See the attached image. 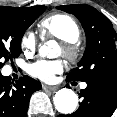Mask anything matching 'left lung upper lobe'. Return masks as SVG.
<instances>
[{
	"instance_id": "1",
	"label": "left lung upper lobe",
	"mask_w": 117,
	"mask_h": 117,
	"mask_svg": "<svg viewBox=\"0 0 117 117\" xmlns=\"http://www.w3.org/2000/svg\"><path fill=\"white\" fill-rule=\"evenodd\" d=\"M57 9L75 15L87 39L86 50L78 67L67 78L87 82L100 76L117 75V32L110 20L86 4L57 6Z\"/></svg>"
}]
</instances>
